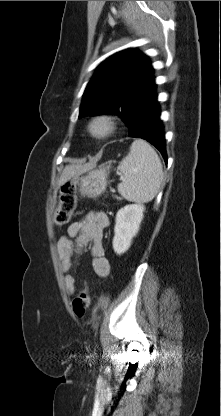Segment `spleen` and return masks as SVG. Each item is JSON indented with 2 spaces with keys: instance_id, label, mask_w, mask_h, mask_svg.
Segmentation results:
<instances>
[{
  "instance_id": "obj_1",
  "label": "spleen",
  "mask_w": 221,
  "mask_h": 416,
  "mask_svg": "<svg viewBox=\"0 0 221 416\" xmlns=\"http://www.w3.org/2000/svg\"><path fill=\"white\" fill-rule=\"evenodd\" d=\"M123 174L118 192L128 201L146 203L158 193L163 168L156 151L144 140L136 139L120 164Z\"/></svg>"
}]
</instances>
